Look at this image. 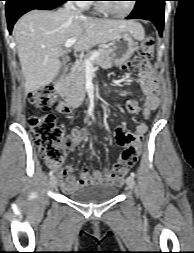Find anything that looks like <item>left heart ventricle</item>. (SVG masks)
Returning a JSON list of instances; mask_svg holds the SVG:
<instances>
[{"instance_id":"1","label":"left heart ventricle","mask_w":194,"mask_h":253,"mask_svg":"<svg viewBox=\"0 0 194 253\" xmlns=\"http://www.w3.org/2000/svg\"><path fill=\"white\" fill-rule=\"evenodd\" d=\"M105 4L116 12H124L129 8L130 1H110Z\"/></svg>"}]
</instances>
